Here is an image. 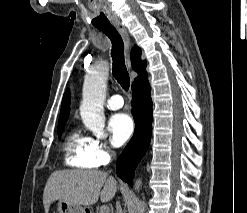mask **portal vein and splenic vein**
Here are the masks:
<instances>
[{
  "mask_svg": "<svg viewBox=\"0 0 247 213\" xmlns=\"http://www.w3.org/2000/svg\"><path fill=\"white\" fill-rule=\"evenodd\" d=\"M100 213H109V207L106 205L101 206Z\"/></svg>",
  "mask_w": 247,
  "mask_h": 213,
  "instance_id": "1",
  "label": "portal vein and splenic vein"
}]
</instances>
